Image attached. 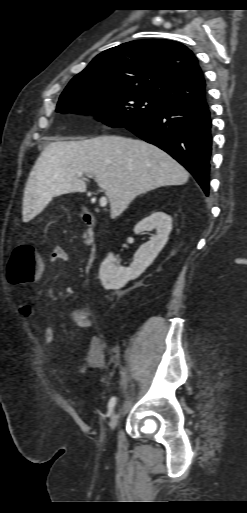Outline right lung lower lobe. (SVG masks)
Here are the masks:
<instances>
[{
  "label": "right lung lower lobe",
  "mask_w": 247,
  "mask_h": 513,
  "mask_svg": "<svg viewBox=\"0 0 247 513\" xmlns=\"http://www.w3.org/2000/svg\"><path fill=\"white\" fill-rule=\"evenodd\" d=\"M181 163L209 194L211 119L205 97L168 105L144 121L126 127Z\"/></svg>",
  "instance_id": "obj_1"
}]
</instances>
